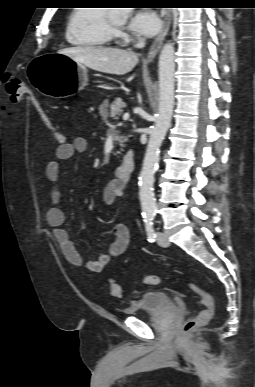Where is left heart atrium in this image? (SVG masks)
Instances as JSON below:
<instances>
[{"mask_svg": "<svg viewBox=\"0 0 255 387\" xmlns=\"http://www.w3.org/2000/svg\"><path fill=\"white\" fill-rule=\"evenodd\" d=\"M162 26L159 16L150 10L137 11L129 22V29L137 35L153 37Z\"/></svg>", "mask_w": 255, "mask_h": 387, "instance_id": "1", "label": "left heart atrium"}]
</instances>
